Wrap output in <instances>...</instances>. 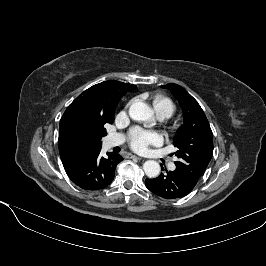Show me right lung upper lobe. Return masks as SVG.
I'll use <instances>...</instances> for the list:
<instances>
[{"label":"right lung upper lobe","instance_id":"cb5924a9","mask_svg":"<svg viewBox=\"0 0 266 266\" xmlns=\"http://www.w3.org/2000/svg\"><path fill=\"white\" fill-rule=\"evenodd\" d=\"M135 85L108 80L80 94L66 109L59 127V153L63 163L102 146L90 126L98 120H114L121 97Z\"/></svg>","mask_w":266,"mask_h":266}]
</instances>
